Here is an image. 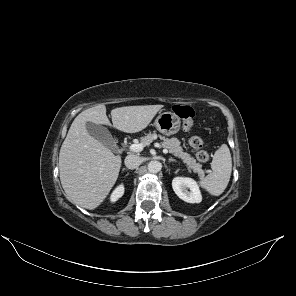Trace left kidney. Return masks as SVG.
I'll list each match as a JSON object with an SVG mask.
<instances>
[{"instance_id":"left-kidney-1","label":"left kidney","mask_w":296,"mask_h":296,"mask_svg":"<svg viewBox=\"0 0 296 296\" xmlns=\"http://www.w3.org/2000/svg\"><path fill=\"white\" fill-rule=\"evenodd\" d=\"M172 188L176 195L185 202L200 203L202 201L199 186L196 181L191 178L175 177L172 180Z\"/></svg>"}]
</instances>
